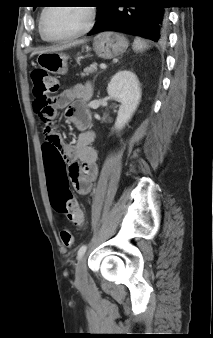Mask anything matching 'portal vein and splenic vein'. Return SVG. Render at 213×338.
<instances>
[{
    "label": "portal vein and splenic vein",
    "mask_w": 213,
    "mask_h": 338,
    "mask_svg": "<svg viewBox=\"0 0 213 338\" xmlns=\"http://www.w3.org/2000/svg\"><path fill=\"white\" fill-rule=\"evenodd\" d=\"M100 68L101 69H105L106 68V65L104 63L100 64Z\"/></svg>",
    "instance_id": "18ae733b"
}]
</instances>
